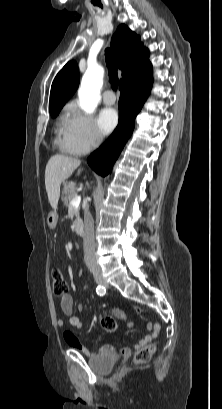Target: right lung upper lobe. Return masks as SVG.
Here are the masks:
<instances>
[{
	"label": "right lung upper lobe",
	"mask_w": 222,
	"mask_h": 409,
	"mask_svg": "<svg viewBox=\"0 0 222 409\" xmlns=\"http://www.w3.org/2000/svg\"><path fill=\"white\" fill-rule=\"evenodd\" d=\"M111 48L123 75L120 84L152 71L149 51L140 37L121 24L111 39ZM79 85V70L75 61L68 62L55 77L50 93L49 110L61 109Z\"/></svg>",
	"instance_id": "right-lung-upper-lobe-1"
}]
</instances>
